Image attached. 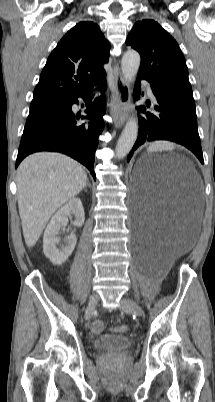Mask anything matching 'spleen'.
Here are the masks:
<instances>
[{
	"label": "spleen",
	"instance_id": "3e777b00",
	"mask_svg": "<svg viewBox=\"0 0 215 402\" xmlns=\"http://www.w3.org/2000/svg\"><path fill=\"white\" fill-rule=\"evenodd\" d=\"M171 148V146L170 145H168L167 143H165V142H159V143H155V144H153V145H151L150 147H149V150L150 151H154V150H157V149H170Z\"/></svg>",
	"mask_w": 215,
	"mask_h": 402
}]
</instances>
